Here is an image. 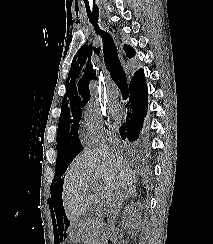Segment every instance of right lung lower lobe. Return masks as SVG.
I'll return each mask as SVG.
<instances>
[{
  "mask_svg": "<svg viewBox=\"0 0 213 244\" xmlns=\"http://www.w3.org/2000/svg\"><path fill=\"white\" fill-rule=\"evenodd\" d=\"M130 99L125 122L118 128L124 144L137 154L145 152V141L141 134L144 117L147 114L148 91L144 71L140 69L130 82Z\"/></svg>",
  "mask_w": 213,
  "mask_h": 244,
  "instance_id": "1",
  "label": "right lung lower lobe"
}]
</instances>
